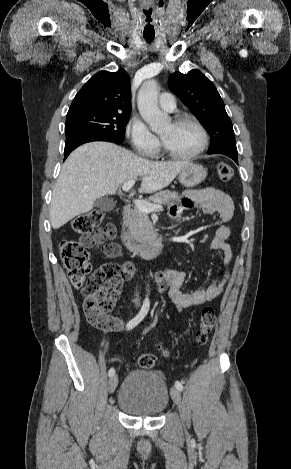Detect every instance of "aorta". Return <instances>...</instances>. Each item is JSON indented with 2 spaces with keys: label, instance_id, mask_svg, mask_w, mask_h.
Instances as JSON below:
<instances>
[{
  "label": "aorta",
  "instance_id": "1",
  "mask_svg": "<svg viewBox=\"0 0 291 469\" xmlns=\"http://www.w3.org/2000/svg\"><path fill=\"white\" fill-rule=\"evenodd\" d=\"M137 104L142 118L152 131H160L170 123L169 116L158 107V84L155 80H148L142 84Z\"/></svg>",
  "mask_w": 291,
  "mask_h": 469
}]
</instances>
